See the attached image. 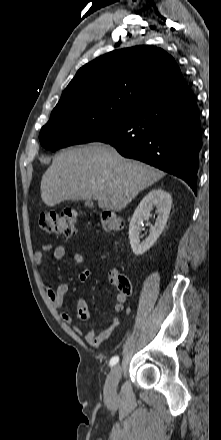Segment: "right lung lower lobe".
I'll list each match as a JSON object with an SVG mask.
<instances>
[{
  "label": "right lung lower lobe",
  "mask_w": 221,
  "mask_h": 440,
  "mask_svg": "<svg viewBox=\"0 0 221 440\" xmlns=\"http://www.w3.org/2000/svg\"><path fill=\"white\" fill-rule=\"evenodd\" d=\"M97 141L181 178L196 194L202 140L198 107L188 86L140 105Z\"/></svg>",
  "instance_id": "1"
}]
</instances>
